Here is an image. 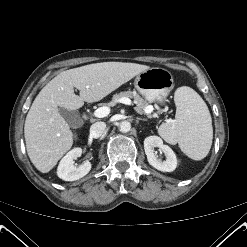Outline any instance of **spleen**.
Masks as SVG:
<instances>
[{
	"label": "spleen",
	"mask_w": 247,
	"mask_h": 247,
	"mask_svg": "<svg viewBox=\"0 0 247 247\" xmlns=\"http://www.w3.org/2000/svg\"><path fill=\"white\" fill-rule=\"evenodd\" d=\"M175 119L159 127L162 138L179 145L193 160L205 158L212 145L213 128L208 107L200 95L188 86L179 87L174 94Z\"/></svg>",
	"instance_id": "spleen-1"
}]
</instances>
